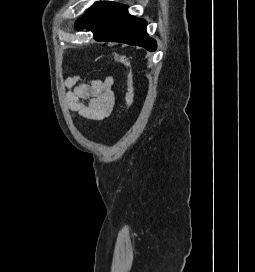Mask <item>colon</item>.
Wrapping results in <instances>:
<instances>
[{
  "label": "colon",
  "mask_w": 255,
  "mask_h": 272,
  "mask_svg": "<svg viewBox=\"0 0 255 272\" xmlns=\"http://www.w3.org/2000/svg\"><path fill=\"white\" fill-rule=\"evenodd\" d=\"M113 58L115 61L123 66L127 71V92H126V109L129 110L134 102V76L129 59L120 53H114Z\"/></svg>",
  "instance_id": "5ec220e1"
}]
</instances>
